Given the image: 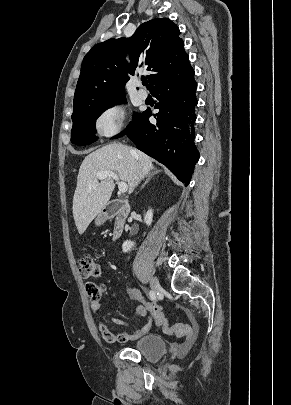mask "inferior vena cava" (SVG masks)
<instances>
[{
  "label": "inferior vena cava",
  "instance_id": "602c4592",
  "mask_svg": "<svg viewBox=\"0 0 291 405\" xmlns=\"http://www.w3.org/2000/svg\"><path fill=\"white\" fill-rule=\"evenodd\" d=\"M140 175L137 177V181H136V183H138L139 182V180H140Z\"/></svg>",
  "mask_w": 291,
  "mask_h": 405
}]
</instances>
